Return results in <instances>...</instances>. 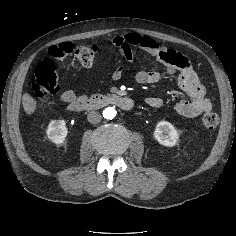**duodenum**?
Instances as JSON below:
<instances>
[{
	"mask_svg": "<svg viewBox=\"0 0 236 236\" xmlns=\"http://www.w3.org/2000/svg\"><path fill=\"white\" fill-rule=\"evenodd\" d=\"M106 105H116L123 110H131L134 102L131 98L122 95H94L82 99L75 108V111L95 110Z\"/></svg>",
	"mask_w": 236,
	"mask_h": 236,
	"instance_id": "410a0bca",
	"label": "duodenum"
}]
</instances>
